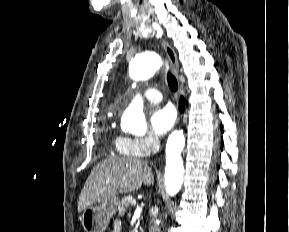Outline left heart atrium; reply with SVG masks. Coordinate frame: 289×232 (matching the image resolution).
Here are the masks:
<instances>
[{
	"label": "left heart atrium",
	"mask_w": 289,
	"mask_h": 232,
	"mask_svg": "<svg viewBox=\"0 0 289 232\" xmlns=\"http://www.w3.org/2000/svg\"><path fill=\"white\" fill-rule=\"evenodd\" d=\"M175 120L176 112L172 106L156 107L150 116L151 130L155 135L163 136L173 127Z\"/></svg>",
	"instance_id": "obj_1"
}]
</instances>
